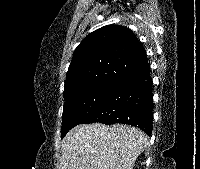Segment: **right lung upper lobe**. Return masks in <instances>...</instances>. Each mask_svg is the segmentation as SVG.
<instances>
[{
  "label": "right lung upper lobe",
  "mask_w": 200,
  "mask_h": 169,
  "mask_svg": "<svg viewBox=\"0 0 200 169\" xmlns=\"http://www.w3.org/2000/svg\"><path fill=\"white\" fill-rule=\"evenodd\" d=\"M149 69L141 42L130 29L104 26L77 46L64 86V99L102 80H120Z\"/></svg>",
  "instance_id": "cb5924a9"
}]
</instances>
